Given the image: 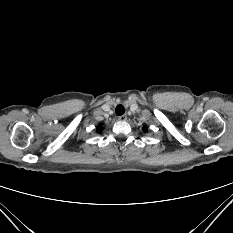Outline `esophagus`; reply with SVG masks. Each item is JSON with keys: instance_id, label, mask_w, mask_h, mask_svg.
Masks as SVG:
<instances>
[{"instance_id": "1", "label": "esophagus", "mask_w": 233, "mask_h": 233, "mask_svg": "<svg viewBox=\"0 0 233 233\" xmlns=\"http://www.w3.org/2000/svg\"><path fill=\"white\" fill-rule=\"evenodd\" d=\"M118 120L120 121H126L127 120V116L126 115H121L118 117Z\"/></svg>"}]
</instances>
